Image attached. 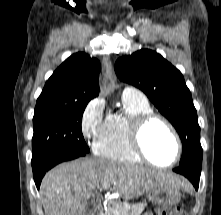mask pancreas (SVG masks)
<instances>
[{"instance_id":"cf45deb5","label":"pancreas","mask_w":221,"mask_h":215,"mask_svg":"<svg viewBox=\"0 0 221 215\" xmlns=\"http://www.w3.org/2000/svg\"><path fill=\"white\" fill-rule=\"evenodd\" d=\"M146 203L138 204H119L109 206L103 215H141Z\"/></svg>"}]
</instances>
